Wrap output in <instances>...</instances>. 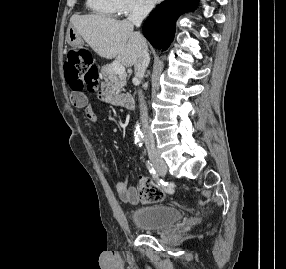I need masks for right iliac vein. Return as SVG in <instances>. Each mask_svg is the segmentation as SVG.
I'll return each instance as SVG.
<instances>
[{
  "mask_svg": "<svg viewBox=\"0 0 286 269\" xmlns=\"http://www.w3.org/2000/svg\"><path fill=\"white\" fill-rule=\"evenodd\" d=\"M157 171H158L160 174H165L166 171H167L166 165L163 164V165L158 166V167H157Z\"/></svg>",
  "mask_w": 286,
  "mask_h": 269,
  "instance_id": "1",
  "label": "right iliac vein"
}]
</instances>
